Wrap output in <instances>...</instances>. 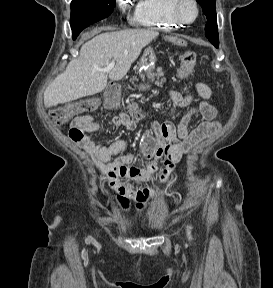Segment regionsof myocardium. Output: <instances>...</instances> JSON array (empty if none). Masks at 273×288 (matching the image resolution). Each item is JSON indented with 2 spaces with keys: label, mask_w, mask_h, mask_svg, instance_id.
Returning a JSON list of instances; mask_svg holds the SVG:
<instances>
[{
  "label": "myocardium",
  "mask_w": 273,
  "mask_h": 288,
  "mask_svg": "<svg viewBox=\"0 0 273 288\" xmlns=\"http://www.w3.org/2000/svg\"><path fill=\"white\" fill-rule=\"evenodd\" d=\"M185 2H190L195 9V15L192 19H187L182 14V6ZM170 13L172 17L176 19L179 23L190 24L193 23L199 15V5L196 0H171Z\"/></svg>",
  "instance_id": "f54148a6"
}]
</instances>
